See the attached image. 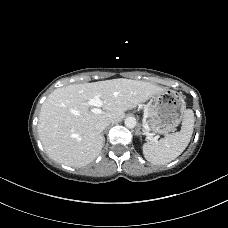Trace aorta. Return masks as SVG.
<instances>
[{"label":"aorta","instance_id":"aorta-1","mask_svg":"<svg viewBox=\"0 0 228 228\" xmlns=\"http://www.w3.org/2000/svg\"><path fill=\"white\" fill-rule=\"evenodd\" d=\"M127 128H134L136 126V119L134 117H127L124 121Z\"/></svg>","mask_w":228,"mask_h":228}]
</instances>
